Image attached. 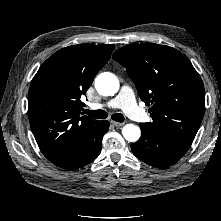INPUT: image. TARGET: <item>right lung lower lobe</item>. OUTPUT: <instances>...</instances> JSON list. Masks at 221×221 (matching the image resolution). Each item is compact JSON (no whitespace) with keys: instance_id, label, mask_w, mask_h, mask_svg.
<instances>
[{"instance_id":"obj_1","label":"right lung lower lobe","mask_w":221,"mask_h":221,"mask_svg":"<svg viewBox=\"0 0 221 221\" xmlns=\"http://www.w3.org/2000/svg\"><path fill=\"white\" fill-rule=\"evenodd\" d=\"M108 128V121H98L90 130L85 139L83 155L80 158L69 161H55L52 163L63 169L75 170L92 162L100 154L102 138L107 132Z\"/></svg>"}]
</instances>
